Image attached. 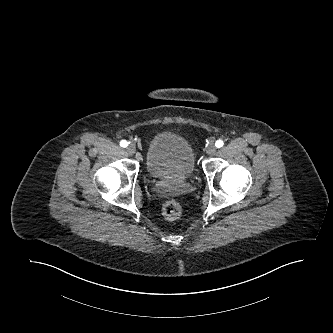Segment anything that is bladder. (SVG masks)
Segmentation results:
<instances>
[{"mask_svg":"<svg viewBox=\"0 0 333 333\" xmlns=\"http://www.w3.org/2000/svg\"><path fill=\"white\" fill-rule=\"evenodd\" d=\"M146 169L156 181L190 179L195 171L193 149L181 135L160 132L148 143Z\"/></svg>","mask_w":333,"mask_h":333,"instance_id":"31cf9c89","label":"bladder"}]
</instances>
